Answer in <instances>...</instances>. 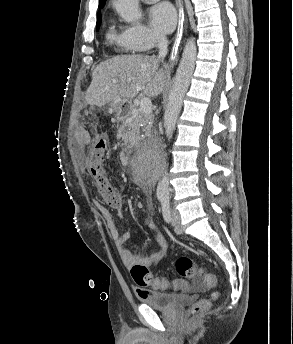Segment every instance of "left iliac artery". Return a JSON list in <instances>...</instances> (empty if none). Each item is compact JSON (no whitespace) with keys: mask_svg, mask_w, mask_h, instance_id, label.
Segmentation results:
<instances>
[{"mask_svg":"<svg viewBox=\"0 0 293 344\" xmlns=\"http://www.w3.org/2000/svg\"><path fill=\"white\" fill-rule=\"evenodd\" d=\"M161 200V205H162V213L163 217L166 222H170L171 220V214H170V200L169 197L164 196L160 198Z\"/></svg>","mask_w":293,"mask_h":344,"instance_id":"44dca946","label":"left iliac artery"}]
</instances>
